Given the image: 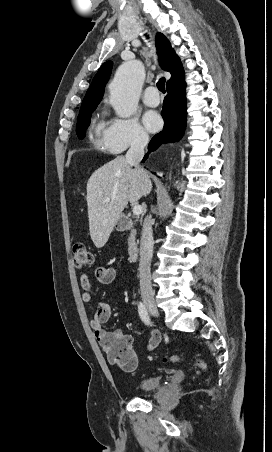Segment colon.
<instances>
[{"mask_svg":"<svg viewBox=\"0 0 272 452\" xmlns=\"http://www.w3.org/2000/svg\"><path fill=\"white\" fill-rule=\"evenodd\" d=\"M94 258L87 246L83 243H76L73 246V264L77 269L92 265ZM108 360L123 370H133L136 367V355L131 348L130 341L126 337L115 339L107 350ZM170 361H177V356H171ZM196 364L199 369L205 370L207 365L205 361L198 358Z\"/></svg>","mask_w":272,"mask_h":452,"instance_id":"colon-1","label":"colon"}]
</instances>
